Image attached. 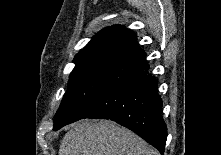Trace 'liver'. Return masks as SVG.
<instances>
[{"label":"liver","mask_w":221,"mask_h":155,"mask_svg":"<svg viewBox=\"0 0 221 155\" xmlns=\"http://www.w3.org/2000/svg\"><path fill=\"white\" fill-rule=\"evenodd\" d=\"M59 155H159L132 131L110 120H81L62 139Z\"/></svg>","instance_id":"6515ba94"}]
</instances>
